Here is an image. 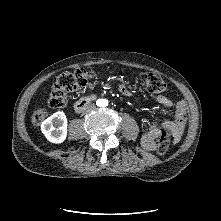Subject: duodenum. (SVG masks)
Listing matches in <instances>:
<instances>
[{"label": "duodenum", "instance_id": "410a0bca", "mask_svg": "<svg viewBox=\"0 0 221 221\" xmlns=\"http://www.w3.org/2000/svg\"><path fill=\"white\" fill-rule=\"evenodd\" d=\"M97 98V95L91 94L87 95L85 97H82L80 100H78L74 105L75 112L79 113L83 111L88 105H90L95 99Z\"/></svg>", "mask_w": 221, "mask_h": 221}]
</instances>
